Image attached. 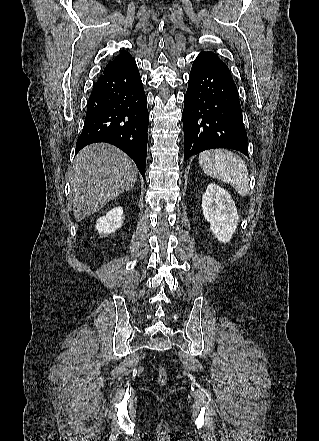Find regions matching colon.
I'll return each instance as SVG.
<instances>
[{
  "label": "colon",
  "instance_id": "1",
  "mask_svg": "<svg viewBox=\"0 0 319 441\" xmlns=\"http://www.w3.org/2000/svg\"><path fill=\"white\" fill-rule=\"evenodd\" d=\"M161 374L164 375V369L163 368H161Z\"/></svg>",
  "mask_w": 319,
  "mask_h": 441
}]
</instances>
